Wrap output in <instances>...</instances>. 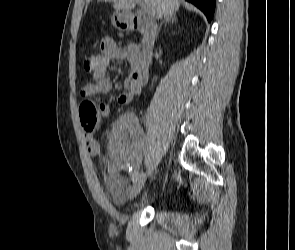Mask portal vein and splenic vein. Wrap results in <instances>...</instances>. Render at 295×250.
Instances as JSON below:
<instances>
[{"instance_id": "1", "label": "portal vein and splenic vein", "mask_w": 295, "mask_h": 250, "mask_svg": "<svg viewBox=\"0 0 295 250\" xmlns=\"http://www.w3.org/2000/svg\"><path fill=\"white\" fill-rule=\"evenodd\" d=\"M142 7L144 9V12L147 13L148 15L153 14L152 8L148 4L142 3Z\"/></svg>"}]
</instances>
